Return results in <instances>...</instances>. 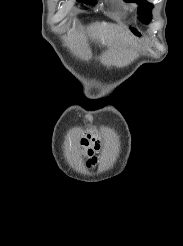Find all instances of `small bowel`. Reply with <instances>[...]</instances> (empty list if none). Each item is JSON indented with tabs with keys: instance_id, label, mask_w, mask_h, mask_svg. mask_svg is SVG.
I'll use <instances>...</instances> for the list:
<instances>
[{
	"instance_id": "1",
	"label": "small bowel",
	"mask_w": 183,
	"mask_h": 246,
	"mask_svg": "<svg viewBox=\"0 0 183 246\" xmlns=\"http://www.w3.org/2000/svg\"><path fill=\"white\" fill-rule=\"evenodd\" d=\"M97 163V158L96 157H92L89 161H88V168H91L93 165H95Z\"/></svg>"
}]
</instances>
